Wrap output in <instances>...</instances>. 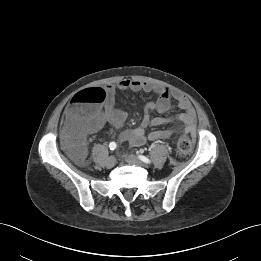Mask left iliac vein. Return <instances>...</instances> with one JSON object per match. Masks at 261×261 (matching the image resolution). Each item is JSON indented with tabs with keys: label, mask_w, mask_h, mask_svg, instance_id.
I'll return each instance as SVG.
<instances>
[{
	"label": "left iliac vein",
	"mask_w": 261,
	"mask_h": 261,
	"mask_svg": "<svg viewBox=\"0 0 261 261\" xmlns=\"http://www.w3.org/2000/svg\"><path fill=\"white\" fill-rule=\"evenodd\" d=\"M125 160L127 163L129 164H133V165H137V166H141V167H146V165L141 162L136 156L134 155H126L125 156Z\"/></svg>",
	"instance_id": "obj_1"
}]
</instances>
